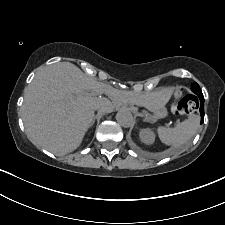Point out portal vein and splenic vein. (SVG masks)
Wrapping results in <instances>:
<instances>
[{"label":"portal vein and splenic vein","instance_id":"1","mask_svg":"<svg viewBox=\"0 0 225 225\" xmlns=\"http://www.w3.org/2000/svg\"><path fill=\"white\" fill-rule=\"evenodd\" d=\"M74 96L73 95H68L66 98L67 99H72Z\"/></svg>","mask_w":225,"mask_h":225}]
</instances>
